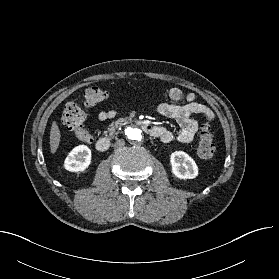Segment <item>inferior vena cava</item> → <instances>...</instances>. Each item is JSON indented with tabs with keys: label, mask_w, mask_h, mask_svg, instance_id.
I'll return each instance as SVG.
<instances>
[{
	"label": "inferior vena cava",
	"mask_w": 279,
	"mask_h": 279,
	"mask_svg": "<svg viewBox=\"0 0 279 279\" xmlns=\"http://www.w3.org/2000/svg\"><path fill=\"white\" fill-rule=\"evenodd\" d=\"M123 145H125L124 139H119L114 143V147H121Z\"/></svg>",
	"instance_id": "602c4592"
}]
</instances>
